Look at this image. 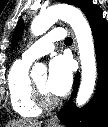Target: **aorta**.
<instances>
[{
	"mask_svg": "<svg viewBox=\"0 0 108 127\" xmlns=\"http://www.w3.org/2000/svg\"><path fill=\"white\" fill-rule=\"evenodd\" d=\"M59 19L67 22L72 27L81 60L82 78L76 97L77 106H83L90 99L96 81V59L94 42L90 26L82 12L71 5L59 4L41 11L31 23V32L35 36L44 34ZM40 72H45V67L35 64L31 71L34 78Z\"/></svg>",
	"mask_w": 108,
	"mask_h": 127,
	"instance_id": "obj_1",
	"label": "aorta"
}]
</instances>
